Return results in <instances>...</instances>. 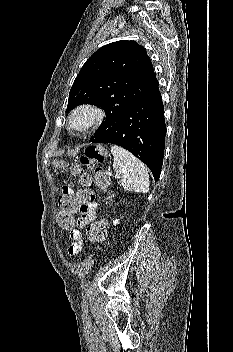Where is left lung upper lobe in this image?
Instances as JSON below:
<instances>
[{
    "label": "left lung upper lobe",
    "instance_id": "obj_1",
    "mask_svg": "<svg viewBox=\"0 0 233 352\" xmlns=\"http://www.w3.org/2000/svg\"><path fill=\"white\" fill-rule=\"evenodd\" d=\"M157 85L146 49L135 41H116L99 48L84 63L70 90L66 112L82 104L104 109L106 120L92 140L109 129L123 111L145 98Z\"/></svg>",
    "mask_w": 233,
    "mask_h": 352
}]
</instances>
